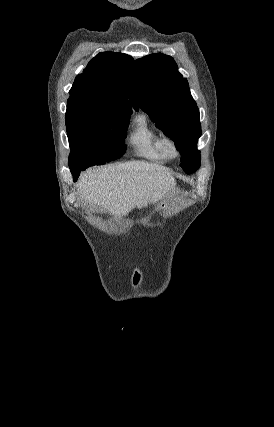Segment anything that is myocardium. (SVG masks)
I'll return each instance as SVG.
<instances>
[{
	"mask_svg": "<svg viewBox=\"0 0 274 427\" xmlns=\"http://www.w3.org/2000/svg\"><path fill=\"white\" fill-rule=\"evenodd\" d=\"M162 147L167 157L178 158L182 154V148L178 139L172 135L162 138Z\"/></svg>",
	"mask_w": 274,
	"mask_h": 427,
	"instance_id": "f54148a6",
	"label": "myocardium"
}]
</instances>
